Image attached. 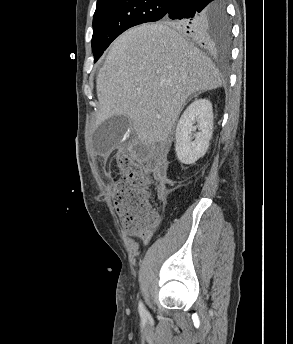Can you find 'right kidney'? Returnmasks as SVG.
<instances>
[{
	"mask_svg": "<svg viewBox=\"0 0 293 344\" xmlns=\"http://www.w3.org/2000/svg\"><path fill=\"white\" fill-rule=\"evenodd\" d=\"M212 132V104L208 99H196L183 112L176 127L175 151L178 160L188 165L204 156ZM193 138L195 139L192 140Z\"/></svg>",
	"mask_w": 293,
	"mask_h": 344,
	"instance_id": "ca27d5eb",
	"label": "right kidney"
}]
</instances>
